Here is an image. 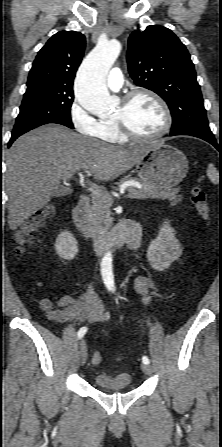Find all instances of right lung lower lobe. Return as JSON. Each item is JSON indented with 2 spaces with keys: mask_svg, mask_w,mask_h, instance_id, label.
Instances as JSON below:
<instances>
[{
  "mask_svg": "<svg viewBox=\"0 0 222 447\" xmlns=\"http://www.w3.org/2000/svg\"><path fill=\"white\" fill-rule=\"evenodd\" d=\"M65 126H67V127H69V128H71V126L70 125H65ZM18 136H12L11 137V139H10V141H9V143H8V147H10L11 146V144L13 143V141L17 138Z\"/></svg>",
  "mask_w": 222,
  "mask_h": 447,
  "instance_id": "right-lung-lower-lobe-1",
  "label": "right lung lower lobe"
}]
</instances>
